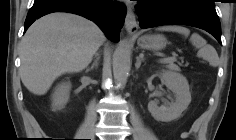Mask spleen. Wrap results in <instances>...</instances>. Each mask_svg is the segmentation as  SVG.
Masks as SVG:
<instances>
[{"label":"spleen","mask_w":236,"mask_h":140,"mask_svg":"<svg viewBox=\"0 0 236 140\" xmlns=\"http://www.w3.org/2000/svg\"><path fill=\"white\" fill-rule=\"evenodd\" d=\"M160 31H172L187 37L190 34V30L182 26H163L159 27ZM191 43L199 49L198 56L207 60L211 66L216 67L218 65V55L216 50L208 45L206 40L203 39L199 34L193 33L190 37Z\"/></svg>","instance_id":"obj_1"}]
</instances>
